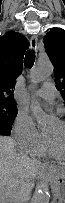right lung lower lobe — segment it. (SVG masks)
Here are the masks:
<instances>
[{"mask_svg": "<svg viewBox=\"0 0 65 203\" xmlns=\"http://www.w3.org/2000/svg\"><path fill=\"white\" fill-rule=\"evenodd\" d=\"M0 134L7 135V134H4V133H1V131H0Z\"/></svg>", "mask_w": 65, "mask_h": 203, "instance_id": "1", "label": "right lung lower lobe"}]
</instances>
